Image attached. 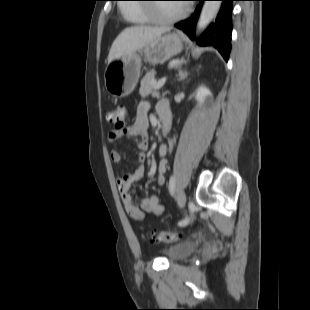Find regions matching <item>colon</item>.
<instances>
[{"label": "colon", "mask_w": 310, "mask_h": 310, "mask_svg": "<svg viewBox=\"0 0 310 310\" xmlns=\"http://www.w3.org/2000/svg\"><path fill=\"white\" fill-rule=\"evenodd\" d=\"M107 121L117 130H125L127 125V107L123 104L117 105L107 111ZM181 231H162L153 232L150 237L153 242L170 243L178 241L182 238Z\"/></svg>", "instance_id": "5ec220e1"}]
</instances>
